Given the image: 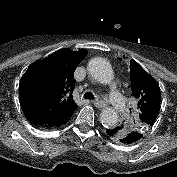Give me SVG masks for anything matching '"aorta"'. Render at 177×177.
<instances>
[{
    "label": "aorta",
    "mask_w": 177,
    "mask_h": 177,
    "mask_svg": "<svg viewBox=\"0 0 177 177\" xmlns=\"http://www.w3.org/2000/svg\"><path fill=\"white\" fill-rule=\"evenodd\" d=\"M89 74L98 82L109 84L113 79V69L110 63L101 57L91 59L87 66ZM100 121L106 128L115 127L118 122V113L113 108H106L100 115Z\"/></svg>",
    "instance_id": "obj_1"
}]
</instances>
